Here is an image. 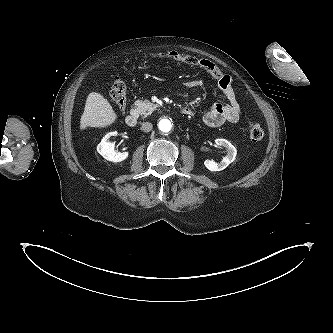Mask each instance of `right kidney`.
Segmentation results:
<instances>
[{
  "label": "right kidney",
  "instance_id": "1",
  "mask_svg": "<svg viewBox=\"0 0 333 333\" xmlns=\"http://www.w3.org/2000/svg\"><path fill=\"white\" fill-rule=\"evenodd\" d=\"M117 132L107 133L97 146L98 153L108 161L121 162L125 160L129 153L128 152H116L114 150L115 143L110 141L112 136H115Z\"/></svg>",
  "mask_w": 333,
  "mask_h": 333
}]
</instances>
